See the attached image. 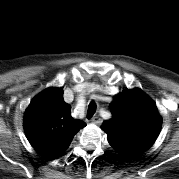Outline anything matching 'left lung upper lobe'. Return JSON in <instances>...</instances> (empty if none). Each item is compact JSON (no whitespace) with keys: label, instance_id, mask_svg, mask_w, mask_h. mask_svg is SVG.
Listing matches in <instances>:
<instances>
[{"label":"left lung upper lobe","instance_id":"left-lung-upper-lobe-1","mask_svg":"<svg viewBox=\"0 0 179 179\" xmlns=\"http://www.w3.org/2000/svg\"><path fill=\"white\" fill-rule=\"evenodd\" d=\"M111 112L113 117L102 129L114 148L146 150L160 133L162 118L153 101L138 89L119 93Z\"/></svg>","mask_w":179,"mask_h":179}]
</instances>
